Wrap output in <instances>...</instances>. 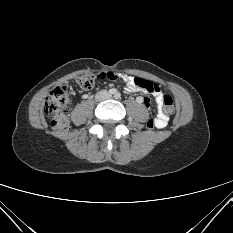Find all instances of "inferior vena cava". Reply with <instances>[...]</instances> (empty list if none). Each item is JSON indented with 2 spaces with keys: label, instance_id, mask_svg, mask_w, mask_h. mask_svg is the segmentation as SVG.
<instances>
[{
  "label": "inferior vena cava",
  "instance_id": "inferior-vena-cava-1",
  "mask_svg": "<svg viewBox=\"0 0 233 233\" xmlns=\"http://www.w3.org/2000/svg\"><path fill=\"white\" fill-rule=\"evenodd\" d=\"M109 96L107 94H104L101 96V99H107Z\"/></svg>",
  "mask_w": 233,
  "mask_h": 233
}]
</instances>
